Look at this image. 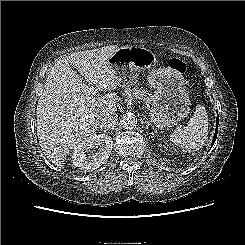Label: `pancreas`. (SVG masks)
<instances>
[{
	"instance_id": "1",
	"label": "pancreas",
	"mask_w": 245,
	"mask_h": 245,
	"mask_svg": "<svg viewBox=\"0 0 245 245\" xmlns=\"http://www.w3.org/2000/svg\"><path fill=\"white\" fill-rule=\"evenodd\" d=\"M122 96L127 99L138 98L144 101L147 105L151 104L152 96L143 88H128L122 93Z\"/></svg>"
}]
</instances>
